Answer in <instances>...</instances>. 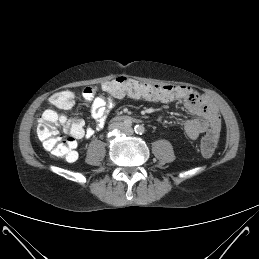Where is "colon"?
<instances>
[{"mask_svg":"<svg viewBox=\"0 0 259 259\" xmlns=\"http://www.w3.org/2000/svg\"><path fill=\"white\" fill-rule=\"evenodd\" d=\"M101 89L111 95L128 94L138 98H159L170 93V86L155 85L129 77H117L101 84ZM72 100V94L68 91L54 93L50 102L56 107L66 108ZM61 124L68 137L58 134L56 125ZM37 136L44 148L56 157L69 162L76 160V140L82 134L83 122L80 116L67 118L59 116L54 111H47L40 116L37 124ZM216 133L206 134L201 141V151L205 157H211L217 145Z\"/></svg>","mask_w":259,"mask_h":259,"instance_id":"5ec220e1","label":"colon"}]
</instances>
